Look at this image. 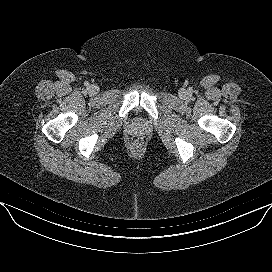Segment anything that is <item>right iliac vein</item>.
Wrapping results in <instances>:
<instances>
[{"label":"right iliac vein","instance_id":"right-iliac-vein-1","mask_svg":"<svg viewBox=\"0 0 272 272\" xmlns=\"http://www.w3.org/2000/svg\"><path fill=\"white\" fill-rule=\"evenodd\" d=\"M97 92H98V87L97 86L91 85L89 87V93L94 95V94H97Z\"/></svg>","mask_w":272,"mask_h":272}]
</instances>
